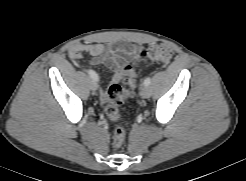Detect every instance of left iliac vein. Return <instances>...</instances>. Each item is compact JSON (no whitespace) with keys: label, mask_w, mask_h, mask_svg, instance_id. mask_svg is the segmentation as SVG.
Instances as JSON below:
<instances>
[{"label":"left iliac vein","mask_w":246,"mask_h":181,"mask_svg":"<svg viewBox=\"0 0 246 181\" xmlns=\"http://www.w3.org/2000/svg\"><path fill=\"white\" fill-rule=\"evenodd\" d=\"M140 95L143 97V98H149L151 96V89L149 86L147 85H143L141 88H140Z\"/></svg>","instance_id":"1"}]
</instances>
